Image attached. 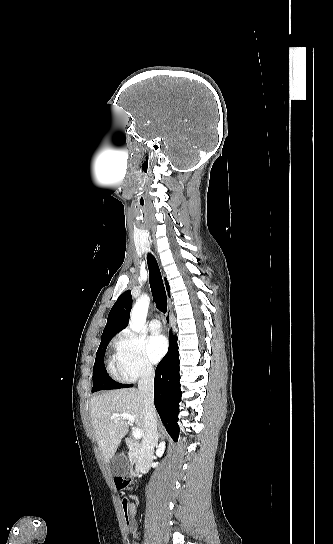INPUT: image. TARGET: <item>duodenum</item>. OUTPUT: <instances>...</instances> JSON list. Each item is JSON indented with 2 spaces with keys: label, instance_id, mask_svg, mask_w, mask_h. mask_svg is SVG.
I'll return each instance as SVG.
<instances>
[{
  "label": "duodenum",
  "instance_id": "410a0bca",
  "mask_svg": "<svg viewBox=\"0 0 333 544\" xmlns=\"http://www.w3.org/2000/svg\"><path fill=\"white\" fill-rule=\"evenodd\" d=\"M126 443L131 455L130 473L132 476L138 477L143 474L149 466L148 453L140 444L130 439H127Z\"/></svg>",
  "mask_w": 333,
  "mask_h": 544
}]
</instances>
